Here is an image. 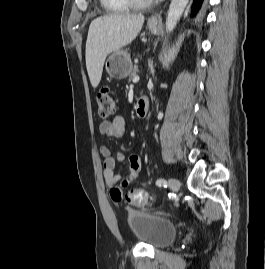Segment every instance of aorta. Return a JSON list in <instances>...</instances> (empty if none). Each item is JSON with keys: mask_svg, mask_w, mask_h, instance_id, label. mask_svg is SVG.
Instances as JSON below:
<instances>
[{"mask_svg": "<svg viewBox=\"0 0 265 269\" xmlns=\"http://www.w3.org/2000/svg\"><path fill=\"white\" fill-rule=\"evenodd\" d=\"M189 0H172L166 18V31L171 33L182 16Z\"/></svg>", "mask_w": 265, "mask_h": 269, "instance_id": "1", "label": "aorta"}]
</instances>
